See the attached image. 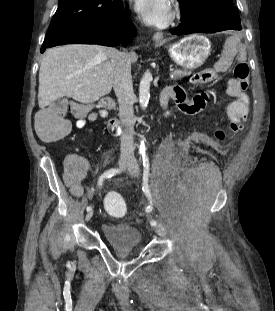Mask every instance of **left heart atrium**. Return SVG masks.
<instances>
[{"label": "left heart atrium", "instance_id": "1", "mask_svg": "<svg viewBox=\"0 0 275 311\" xmlns=\"http://www.w3.org/2000/svg\"><path fill=\"white\" fill-rule=\"evenodd\" d=\"M134 8L148 25L164 27L172 18L170 0H134Z\"/></svg>", "mask_w": 275, "mask_h": 311}]
</instances>
